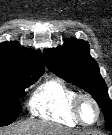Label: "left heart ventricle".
Returning a JSON list of instances; mask_svg holds the SVG:
<instances>
[{
  "mask_svg": "<svg viewBox=\"0 0 112 135\" xmlns=\"http://www.w3.org/2000/svg\"><path fill=\"white\" fill-rule=\"evenodd\" d=\"M81 114H82L83 119L88 123H91L95 120L96 110L90 101L88 100L82 101Z\"/></svg>",
  "mask_w": 112,
  "mask_h": 135,
  "instance_id": "left-heart-ventricle-1",
  "label": "left heart ventricle"
}]
</instances>
